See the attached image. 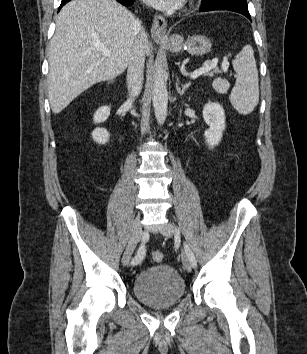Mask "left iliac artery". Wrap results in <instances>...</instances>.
Wrapping results in <instances>:
<instances>
[{
    "label": "left iliac artery",
    "instance_id": "left-iliac-artery-1",
    "mask_svg": "<svg viewBox=\"0 0 307 354\" xmlns=\"http://www.w3.org/2000/svg\"><path fill=\"white\" fill-rule=\"evenodd\" d=\"M177 232H179L178 229H176ZM184 248H185V252L187 253L189 259H190V262H191V265L192 267H196L197 266V260L195 258V255L194 253L192 252V250L190 249L189 245L187 243H184Z\"/></svg>",
    "mask_w": 307,
    "mask_h": 354
}]
</instances>
